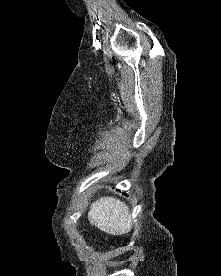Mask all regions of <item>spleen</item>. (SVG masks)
Instances as JSON below:
<instances>
[{
    "mask_svg": "<svg viewBox=\"0 0 221 276\" xmlns=\"http://www.w3.org/2000/svg\"><path fill=\"white\" fill-rule=\"evenodd\" d=\"M89 222L110 235H124L132 229L128 206L113 197H102L95 201L88 213Z\"/></svg>",
    "mask_w": 221,
    "mask_h": 276,
    "instance_id": "3e777b00",
    "label": "spleen"
}]
</instances>
